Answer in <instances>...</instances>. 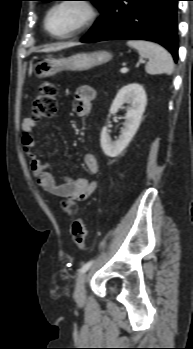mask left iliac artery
<instances>
[{
    "label": "left iliac artery",
    "instance_id": "left-iliac-artery-1",
    "mask_svg": "<svg viewBox=\"0 0 193 349\" xmlns=\"http://www.w3.org/2000/svg\"><path fill=\"white\" fill-rule=\"evenodd\" d=\"M93 263H94V260H91V261L85 263V264L81 267L80 272H81V273L86 272V271L92 266Z\"/></svg>",
    "mask_w": 193,
    "mask_h": 349
}]
</instances>
